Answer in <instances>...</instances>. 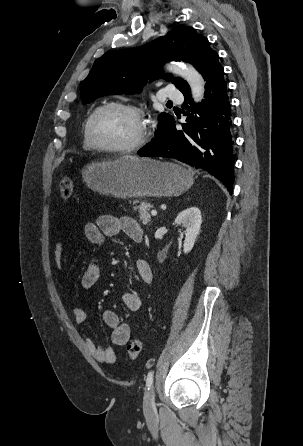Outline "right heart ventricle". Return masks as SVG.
<instances>
[{"label": "right heart ventricle", "instance_id": "obj_1", "mask_svg": "<svg viewBox=\"0 0 303 446\" xmlns=\"http://www.w3.org/2000/svg\"><path fill=\"white\" fill-rule=\"evenodd\" d=\"M82 146L86 150L93 149L87 141L86 134H85V127H84V131H83Z\"/></svg>", "mask_w": 303, "mask_h": 446}]
</instances>
